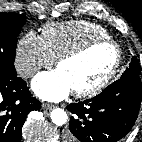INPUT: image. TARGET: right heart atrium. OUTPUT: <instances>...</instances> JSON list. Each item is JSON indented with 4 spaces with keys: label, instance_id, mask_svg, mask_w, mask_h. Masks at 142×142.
<instances>
[{
    "label": "right heart atrium",
    "instance_id": "obj_1",
    "mask_svg": "<svg viewBox=\"0 0 142 142\" xmlns=\"http://www.w3.org/2000/svg\"><path fill=\"white\" fill-rule=\"evenodd\" d=\"M14 63L19 76L28 79L39 69L53 65L54 59L46 49L42 37L28 32L17 42Z\"/></svg>",
    "mask_w": 142,
    "mask_h": 142
}]
</instances>
